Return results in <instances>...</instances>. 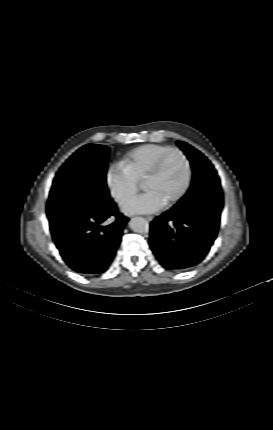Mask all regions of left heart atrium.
Returning <instances> with one entry per match:
<instances>
[{"label":"left heart atrium","instance_id":"39dd6f15","mask_svg":"<svg viewBox=\"0 0 273 430\" xmlns=\"http://www.w3.org/2000/svg\"><path fill=\"white\" fill-rule=\"evenodd\" d=\"M165 205L164 200L155 191L150 190L128 201L123 211L126 214H150L162 210Z\"/></svg>","mask_w":273,"mask_h":430}]
</instances>
